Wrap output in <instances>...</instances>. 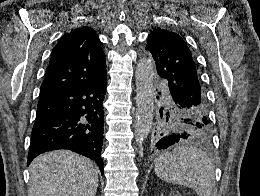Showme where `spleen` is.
<instances>
[{"label": "spleen", "instance_id": "1", "mask_svg": "<svg viewBox=\"0 0 260 196\" xmlns=\"http://www.w3.org/2000/svg\"><path fill=\"white\" fill-rule=\"evenodd\" d=\"M155 174L169 184L193 188L197 196H210L215 186L214 166L199 148L177 146L172 154L165 152L154 164Z\"/></svg>", "mask_w": 260, "mask_h": 196}]
</instances>
